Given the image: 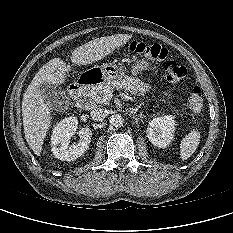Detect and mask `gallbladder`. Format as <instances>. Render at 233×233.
Instances as JSON below:
<instances>
[{
	"label": "gallbladder",
	"instance_id": "bac80fb5",
	"mask_svg": "<svg viewBox=\"0 0 233 233\" xmlns=\"http://www.w3.org/2000/svg\"><path fill=\"white\" fill-rule=\"evenodd\" d=\"M38 91L41 93L51 109L62 111L68 108L69 99L65 92L59 87L50 83H44L38 87Z\"/></svg>",
	"mask_w": 233,
	"mask_h": 233
}]
</instances>
